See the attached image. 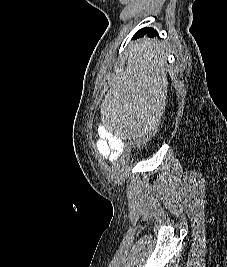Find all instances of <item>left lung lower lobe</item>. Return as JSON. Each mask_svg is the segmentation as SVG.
I'll return each mask as SVG.
<instances>
[{
	"mask_svg": "<svg viewBox=\"0 0 227 267\" xmlns=\"http://www.w3.org/2000/svg\"><path fill=\"white\" fill-rule=\"evenodd\" d=\"M144 34H148V37L158 36V32L155 31L153 28H143L135 33L133 39H137L141 36H144Z\"/></svg>",
	"mask_w": 227,
	"mask_h": 267,
	"instance_id": "left-lung-lower-lobe-1",
	"label": "left lung lower lobe"
}]
</instances>
